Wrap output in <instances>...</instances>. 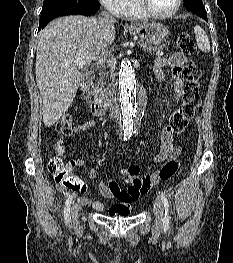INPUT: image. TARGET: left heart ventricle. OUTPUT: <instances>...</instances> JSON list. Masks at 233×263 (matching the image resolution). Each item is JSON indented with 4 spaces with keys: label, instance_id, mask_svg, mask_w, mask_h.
Instances as JSON below:
<instances>
[{
    "label": "left heart ventricle",
    "instance_id": "b2bd125f",
    "mask_svg": "<svg viewBox=\"0 0 233 263\" xmlns=\"http://www.w3.org/2000/svg\"><path fill=\"white\" fill-rule=\"evenodd\" d=\"M149 7L157 13H167L174 9L176 0H147Z\"/></svg>",
    "mask_w": 233,
    "mask_h": 263
}]
</instances>
